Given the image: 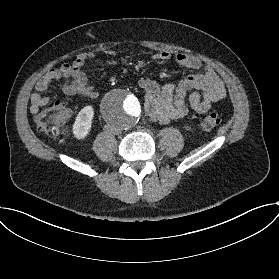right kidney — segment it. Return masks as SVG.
I'll use <instances>...</instances> for the list:
<instances>
[{
	"mask_svg": "<svg viewBox=\"0 0 279 279\" xmlns=\"http://www.w3.org/2000/svg\"><path fill=\"white\" fill-rule=\"evenodd\" d=\"M95 110L92 105L84 106L76 115L72 125V135L78 141L85 140L92 130Z\"/></svg>",
	"mask_w": 279,
	"mask_h": 279,
	"instance_id": "right-kidney-1",
	"label": "right kidney"
}]
</instances>
